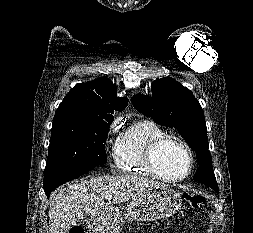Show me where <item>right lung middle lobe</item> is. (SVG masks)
I'll return each mask as SVG.
<instances>
[{"mask_svg": "<svg viewBox=\"0 0 253 233\" xmlns=\"http://www.w3.org/2000/svg\"><path fill=\"white\" fill-rule=\"evenodd\" d=\"M111 116L56 111L44 174L65 167H95L107 162L105 140Z\"/></svg>", "mask_w": 253, "mask_h": 233, "instance_id": "dd1d6c3e", "label": "right lung middle lobe"}]
</instances>
